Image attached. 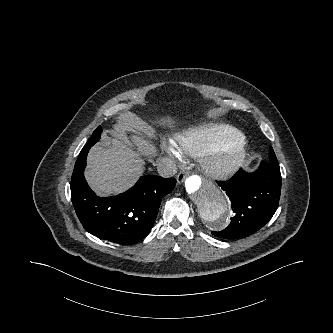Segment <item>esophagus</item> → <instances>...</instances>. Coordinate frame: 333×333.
I'll return each instance as SVG.
<instances>
[{"label":"esophagus","mask_w":333,"mask_h":333,"mask_svg":"<svg viewBox=\"0 0 333 333\" xmlns=\"http://www.w3.org/2000/svg\"><path fill=\"white\" fill-rule=\"evenodd\" d=\"M184 179H185V172L180 171L179 174L177 175V183L182 184L184 182Z\"/></svg>","instance_id":"1"}]
</instances>
